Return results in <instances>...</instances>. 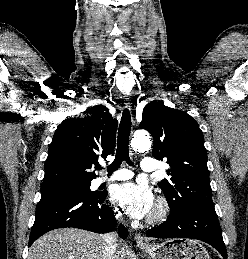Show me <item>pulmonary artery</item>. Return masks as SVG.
<instances>
[{
	"mask_svg": "<svg viewBox=\"0 0 248 259\" xmlns=\"http://www.w3.org/2000/svg\"><path fill=\"white\" fill-rule=\"evenodd\" d=\"M157 169L156 162L152 158H143L141 161V171L144 173H152ZM132 177V173L127 169H118L110 176H103L97 180V184L105 182L127 180Z\"/></svg>",
	"mask_w": 248,
	"mask_h": 259,
	"instance_id": "pulmonary-artery-1",
	"label": "pulmonary artery"
}]
</instances>
